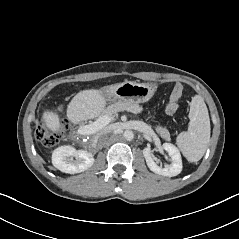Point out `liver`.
Here are the masks:
<instances>
[{"label": "liver", "mask_w": 239, "mask_h": 239, "mask_svg": "<svg viewBox=\"0 0 239 239\" xmlns=\"http://www.w3.org/2000/svg\"><path fill=\"white\" fill-rule=\"evenodd\" d=\"M106 105L107 99L101 89L82 90L68 104L67 117L72 123L78 124L99 117ZM42 119L46 127L53 132L63 127L59 116L50 110L43 111Z\"/></svg>", "instance_id": "6515ba94"}]
</instances>
